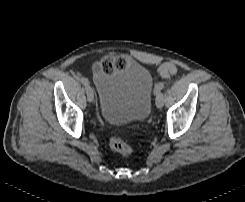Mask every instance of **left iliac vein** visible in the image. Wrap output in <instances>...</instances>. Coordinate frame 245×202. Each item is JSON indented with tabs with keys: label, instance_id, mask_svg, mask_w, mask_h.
Segmentation results:
<instances>
[{
	"label": "left iliac vein",
	"instance_id": "left-iliac-vein-1",
	"mask_svg": "<svg viewBox=\"0 0 245 202\" xmlns=\"http://www.w3.org/2000/svg\"><path fill=\"white\" fill-rule=\"evenodd\" d=\"M164 105V96L161 94L159 97L156 98V106L157 108L161 109Z\"/></svg>",
	"mask_w": 245,
	"mask_h": 202
}]
</instances>
